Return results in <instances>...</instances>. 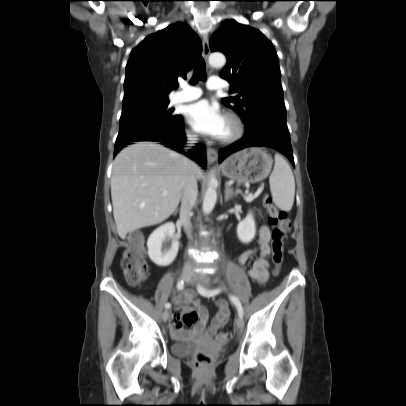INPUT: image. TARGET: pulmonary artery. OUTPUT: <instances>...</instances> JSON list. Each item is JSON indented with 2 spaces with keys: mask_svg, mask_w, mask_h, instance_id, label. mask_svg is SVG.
Here are the masks:
<instances>
[{
  "mask_svg": "<svg viewBox=\"0 0 406 406\" xmlns=\"http://www.w3.org/2000/svg\"><path fill=\"white\" fill-rule=\"evenodd\" d=\"M210 90H222L225 88L224 81L219 77H211L207 82ZM202 91L198 87L185 86L181 91L173 96L172 103H186L198 99Z\"/></svg>",
  "mask_w": 406,
  "mask_h": 406,
  "instance_id": "1",
  "label": "pulmonary artery"
}]
</instances>
